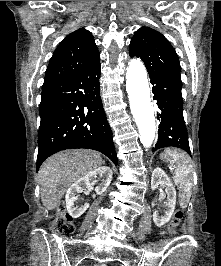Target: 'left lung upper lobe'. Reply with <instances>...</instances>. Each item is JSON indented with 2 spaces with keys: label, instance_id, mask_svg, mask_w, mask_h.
<instances>
[{
  "label": "left lung upper lobe",
  "instance_id": "1",
  "mask_svg": "<svg viewBox=\"0 0 221 266\" xmlns=\"http://www.w3.org/2000/svg\"><path fill=\"white\" fill-rule=\"evenodd\" d=\"M129 55L140 57L150 76H159L181 82V66L169 41L158 31L142 27L129 45Z\"/></svg>",
  "mask_w": 221,
  "mask_h": 266
}]
</instances>
